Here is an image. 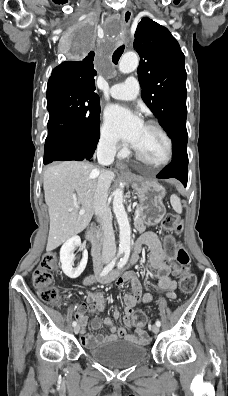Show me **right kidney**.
<instances>
[{"label":"right kidney","instance_id":"right-kidney-1","mask_svg":"<svg viewBox=\"0 0 228 396\" xmlns=\"http://www.w3.org/2000/svg\"><path fill=\"white\" fill-rule=\"evenodd\" d=\"M79 247V250H83L82 259L77 267H74V250ZM88 252L83 248L81 239L79 236H73L68 239L60 249V261L61 267L66 276L75 279L81 275L87 265Z\"/></svg>","mask_w":228,"mask_h":396}]
</instances>
